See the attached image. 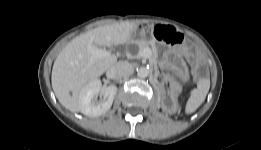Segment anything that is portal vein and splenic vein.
Instances as JSON below:
<instances>
[{
	"instance_id": "18ae733b",
	"label": "portal vein and splenic vein",
	"mask_w": 261,
	"mask_h": 150,
	"mask_svg": "<svg viewBox=\"0 0 261 150\" xmlns=\"http://www.w3.org/2000/svg\"><path fill=\"white\" fill-rule=\"evenodd\" d=\"M88 51L91 53L90 63H93L95 59L106 57L110 55V52L106 49L98 48L93 45L88 46ZM149 53L148 49H144L140 52L142 56H146Z\"/></svg>"
}]
</instances>
